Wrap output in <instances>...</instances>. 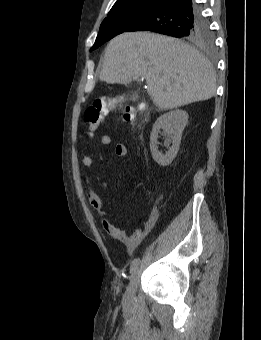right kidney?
<instances>
[{
  "mask_svg": "<svg viewBox=\"0 0 261 340\" xmlns=\"http://www.w3.org/2000/svg\"><path fill=\"white\" fill-rule=\"evenodd\" d=\"M187 123H188L187 112L179 109L163 114L154 123L150 136V150L153 159L159 165L168 166L176 157L182 138V132ZM161 129L168 136V141H172V146L165 154L159 152L157 146L158 134L160 133Z\"/></svg>",
  "mask_w": 261,
  "mask_h": 340,
  "instance_id": "obj_1",
  "label": "right kidney"
}]
</instances>
